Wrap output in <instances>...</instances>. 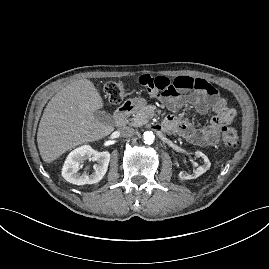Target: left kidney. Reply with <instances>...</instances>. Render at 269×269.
<instances>
[{
  "instance_id": "1",
  "label": "left kidney",
  "mask_w": 269,
  "mask_h": 269,
  "mask_svg": "<svg viewBox=\"0 0 269 269\" xmlns=\"http://www.w3.org/2000/svg\"><path fill=\"white\" fill-rule=\"evenodd\" d=\"M195 155L198 158H202V160L204 161L203 165L197 167V169L194 171L193 174H187L186 172L181 171L179 173V178L181 180L195 179L199 177L200 175H202L203 173H205L210 168L211 163L208 157L204 153H202L201 151H196Z\"/></svg>"
}]
</instances>
